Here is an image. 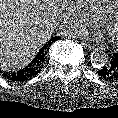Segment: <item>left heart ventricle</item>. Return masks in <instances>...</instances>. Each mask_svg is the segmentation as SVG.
<instances>
[{
    "label": "left heart ventricle",
    "mask_w": 118,
    "mask_h": 118,
    "mask_svg": "<svg viewBox=\"0 0 118 118\" xmlns=\"http://www.w3.org/2000/svg\"><path fill=\"white\" fill-rule=\"evenodd\" d=\"M103 32L110 37L118 38V4H116V14L108 28L103 27Z\"/></svg>",
    "instance_id": "left-heart-ventricle-1"
}]
</instances>
